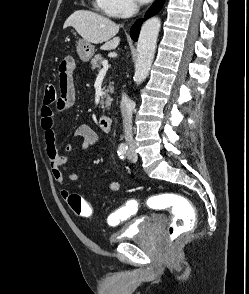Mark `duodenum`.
<instances>
[{
  "mask_svg": "<svg viewBox=\"0 0 249 294\" xmlns=\"http://www.w3.org/2000/svg\"><path fill=\"white\" fill-rule=\"evenodd\" d=\"M97 126L103 132H109L112 128V118L108 115H101L97 118Z\"/></svg>",
  "mask_w": 249,
  "mask_h": 294,
  "instance_id": "1",
  "label": "duodenum"
}]
</instances>
